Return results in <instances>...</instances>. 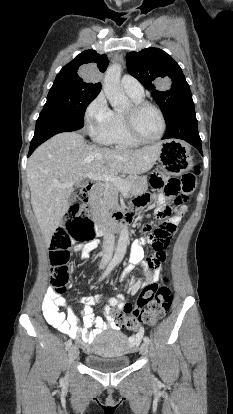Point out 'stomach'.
Here are the masks:
<instances>
[{
	"label": "stomach",
	"instance_id": "0dacf381",
	"mask_svg": "<svg viewBox=\"0 0 233 414\" xmlns=\"http://www.w3.org/2000/svg\"><path fill=\"white\" fill-rule=\"evenodd\" d=\"M158 162L167 172L181 175L192 168V158L189 149L177 140H165L159 143Z\"/></svg>",
	"mask_w": 233,
	"mask_h": 414
}]
</instances>
